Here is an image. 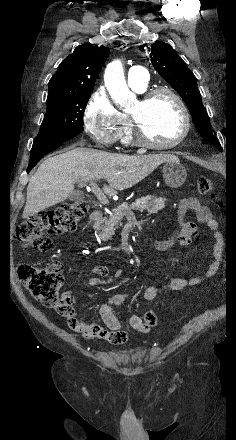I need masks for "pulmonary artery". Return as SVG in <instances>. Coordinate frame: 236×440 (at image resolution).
Wrapping results in <instances>:
<instances>
[{
    "instance_id": "1",
    "label": "pulmonary artery",
    "mask_w": 236,
    "mask_h": 440,
    "mask_svg": "<svg viewBox=\"0 0 236 440\" xmlns=\"http://www.w3.org/2000/svg\"><path fill=\"white\" fill-rule=\"evenodd\" d=\"M127 80L131 87L143 89L148 85L149 73L143 66H132L128 71Z\"/></svg>"
}]
</instances>
